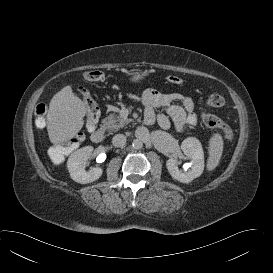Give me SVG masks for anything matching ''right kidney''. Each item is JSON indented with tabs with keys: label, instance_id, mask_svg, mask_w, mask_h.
I'll use <instances>...</instances> for the list:
<instances>
[{
	"label": "right kidney",
	"instance_id": "ca27d5eb",
	"mask_svg": "<svg viewBox=\"0 0 273 273\" xmlns=\"http://www.w3.org/2000/svg\"><path fill=\"white\" fill-rule=\"evenodd\" d=\"M93 147L85 146L73 152L67 161L70 177L78 183L87 184L99 179L103 173L100 167H93L85 170L86 163L92 155Z\"/></svg>",
	"mask_w": 273,
	"mask_h": 273
}]
</instances>
